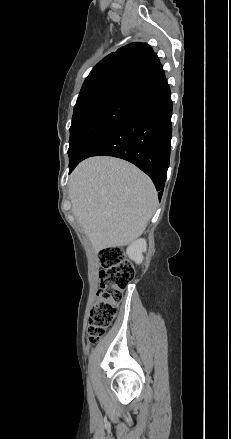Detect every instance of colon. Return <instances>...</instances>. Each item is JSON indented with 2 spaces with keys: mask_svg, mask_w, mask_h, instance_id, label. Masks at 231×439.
<instances>
[{
  "mask_svg": "<svg viewBox=\"0 0 231 439\" xmlns=\"http://www.w3.org/2000/svg\"><path fill=\"white\" fill-rule=\"evenodd\" d=\"M99 264L102 282L89 316L88 336L91 344L98 343L114 321L123 292L134 278V269L124 258L120 247L102 249Z\"/></svg>",
  "mask_w": 231,
  "mask_h": 439,
  "instance_id": "5ec220e1",
  "label": "colon"
}]
</instances>
